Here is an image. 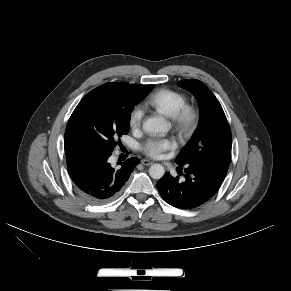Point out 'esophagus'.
<instances>
[{
	"mask_svg": "<svg viewBox=\"0 0 291 291\" xmlns=\"http://www.w3.org/2000/svg\"><path fill=\"white\" fill-rule=\"evenodd\" d=\"M141 163L144 165V166H150L153 164V162H151L150 160H147V159H143L141 160Z\"/></svg>",
	"mask_w": 291,
	"mask_h": 291,
	"instance_id": "1",
	"label": "esophagus"
}]
</instances>
